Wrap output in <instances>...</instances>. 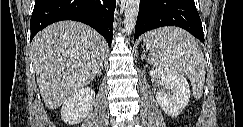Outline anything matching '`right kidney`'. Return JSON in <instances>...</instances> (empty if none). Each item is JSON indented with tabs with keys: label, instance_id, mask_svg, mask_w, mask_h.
Segmentation results:
<instances>
[{
	"label": "right kidney",
	"instance_id": "right-kidney-1",
	"mask_svg": "<svg viewBox=\"0 0 243 127\" xmlns=\"http://www.w3.org/2000/svg\"><path fill=\"white\" fill-rule=\"evenodd\" d=\"M95 92L92 88H81L68 97L61 107L62 120L70 125L79 124L93 108Z\"/></svg>",
	"mask_w": 243,
	"mask_h": 127
}]
</instances>
